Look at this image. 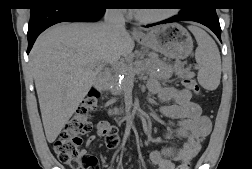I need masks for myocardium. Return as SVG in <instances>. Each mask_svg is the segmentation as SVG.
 <instances>
[{
  "instance_id": "myocardium-1",
  "label": "myocardium",
  "mask_w": 252,
  "mask_h": 169,
  "mask_svg": "<svg viewBox=\"0 0 252 169\" xmlns=\"http://www.w3.org/2000/svg\"><path fill=\"white\" fill-rule=\"evenodd\" d=\"M171 14H172V12H164V13L158 14V15L144 16V15H140L139 13H137V11L134 12L135 18L143 23H153V22L161 21V20H164V19L170 17Z\"/></svg>"
}]
</instances>
